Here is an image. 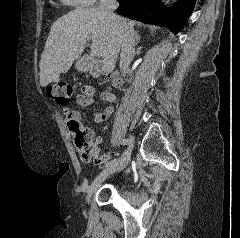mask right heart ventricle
Segmentation results:
<instances>
[{"mask_svg": "<svg viewBox=\"0 0 240 238\" xmlns=\"http://www.w3.org/2000/svg\"><path fill=\"white\" fill-rule=\"evenodd\" d=\"M66 5L73 7H82L88 5L85 0H60Z\"/></svg>", "mask_w": 240, "mask_h": 238, "instance_id": "right-heart-ventricle-1", "label": "right heart ventricle"}]
</instances>
